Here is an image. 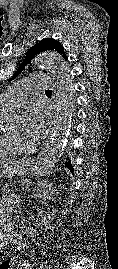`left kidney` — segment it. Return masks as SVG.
Wrapping results in <instances>:
<instances>
[{
    "label": "left kidney",
    "instance_id": "5707ae66",
    "mask_svg": "<svg viewBox=\"0 0 118 269\" xmlns=\"http://www.w3.org/2000/svg\"><path fill=\"white\" fill-rule=\"evenodd\" d=\"M52 185V183H48L47 181H40L35 190L41 198L53 201L56 199V190L52 187ZM56 212L57 210L53 209L51 214H49L47 217L36 218V224L41 228H49Z\"/></svg>",
    "mask_w": 118,
    "mask_h": 269
}]
</instances>
